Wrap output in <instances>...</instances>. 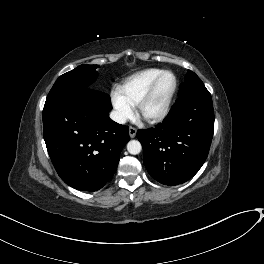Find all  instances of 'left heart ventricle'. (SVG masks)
<instances>
[{"label": "left heart ventricle", "instance_id": "1", "mask_svg": "<svg viewBox=\"0 0 264 264\" xmlns=\"http://www.w3.org/2000/svg\"><path fill=\"white\" fill-rule=\"evenodd\" d=\"M172 86H173L172 77L170 75L164 76L160 80L153 96L150 98V100L145 104V106L141 110V114L148 116L158 112L162 108L169 92L172 89Z\"/></svg>", "mask_w": 264, "mask_h": 264}]
</instances>
